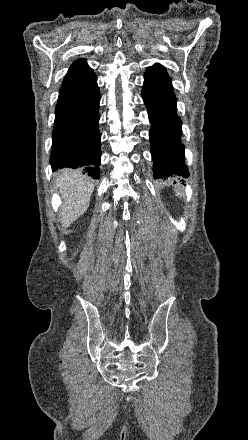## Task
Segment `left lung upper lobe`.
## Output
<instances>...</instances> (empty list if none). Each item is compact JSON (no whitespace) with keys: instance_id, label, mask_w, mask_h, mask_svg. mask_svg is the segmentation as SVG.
<instances>
[{"instance_id":"5c2ea615","label":"left lung upper lobe","mask_w":248,"mask_h":440,"mask_svg":"<svg viewBox=\"0 0 248 440\" xmlns=\"http://www.w3.org/2000/svg\"><path fill=\"white\" fill-rule=\"evenodd\" d=\"M145 78L155 81L171 84V79L168 76L165 68L160 64L150 66L146 70Z\"/></svg>"}]
</instances>
